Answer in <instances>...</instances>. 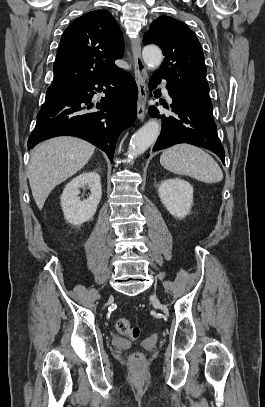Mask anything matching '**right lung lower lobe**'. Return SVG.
Segmentation results:
<instances>
[{"label":"right lung lower lobe","instance_id":"98d812e1","mask_svg":"<svg viewBox=\"0 0 265 407\" xmlns=\"http://www.w3.org/2000/svg\"><path fill=\"white\" fill-rule=\"evenodd\" d=\"M102 86L106 96L94 103L93 95ZM137 95L134 78L121 69L88 79L70 93L45 102L28 149L52 137L76 136L106 152L112 162L120 133L135 121Z\"/></svg>","mask_w":265,"mask_h":407}]
</instances>
